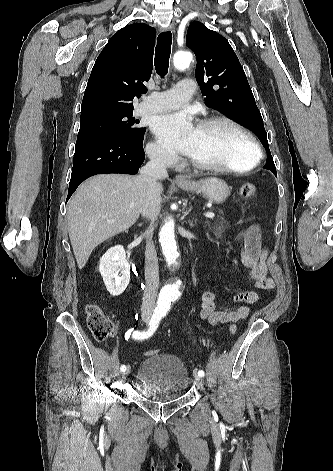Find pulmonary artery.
Wrapping results in <instances>:
<instances>
[{
    "label": "pulmonary artery",
    "instance_id": "1",
    "mask_svg": "<svg viewBox=\"0 0 333 471\" xmlns=\"http://www.w3.org/2000/svg\"><path fill=\"white\" fill-rule=\"evenodd\" d=\"M195 89L194 81L183 79L176 86L164 92H154L140 104L142 114H155L178 108L188 102Z\"/></svg>",
    "mask_w": 333,
    "mask_h": 471
}]
</instances>
